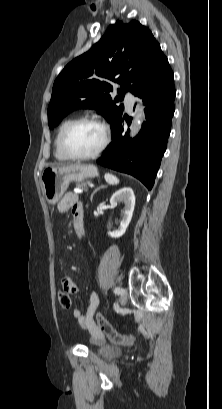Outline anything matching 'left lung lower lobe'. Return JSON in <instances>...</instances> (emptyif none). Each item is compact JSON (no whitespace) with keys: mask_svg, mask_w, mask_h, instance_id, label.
I'll list each match as a JSON object with an SVG mask.
<instances>
[{"mask_svg":"<svg viewBox=\"0 0 222 409\" xmlns=\"http://www.w3.org/2000/svg\"><path fill=\"white\" fill-rule=\"evenodd\" d=\"M146 104V122L133 140L122 136L123 116L112 125V142L97 163L133 175L151 189L166 150L174 114V76L171 68L139 93Z\"/></svg>","mask_w":222,"mask_h":409,"instance_id":"0a47b994","label":"left lung lower lobe"}]
</instances>
